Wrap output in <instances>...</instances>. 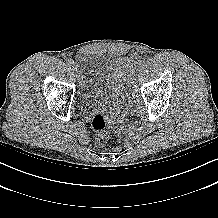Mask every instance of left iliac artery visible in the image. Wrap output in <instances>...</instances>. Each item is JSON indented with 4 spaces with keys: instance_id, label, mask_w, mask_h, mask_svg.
<instances>
[{
    "instance_id": "44dca946",
    "label": "left iliac artery",
    "mask_w": 218,
    "mask_h": 218,
    "mask_svg": "<svg viewBox=\"0 0 218 218\" xmlns=\"http://www.w3.org/2000/svg\"><path fill=\"white\" fill-rule=\"evenodd\" d=\"M139 64L144 65V64H145V60H141V61L139 62Z\"/></svg>"
}]
</instances>
